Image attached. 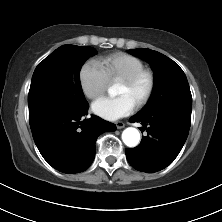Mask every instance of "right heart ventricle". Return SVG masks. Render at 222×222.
<instances>
[{
    "label": "right heart ventricle",
    "mask_w": 222,
    "mask_h": 222,
    "mask_svg": "<svg viewBox=\"0 0 222 222\" xmlns=\"http://www.w3.org/2000/svg\"><path fill=\"white\" fill-rule=\"evenodd\" d=\"M99 64L109 81L122 80L144 68V64L139 58L120 52L102 58Z\"/></svg>",
    "instance_id": "1"
}]
</instances>
